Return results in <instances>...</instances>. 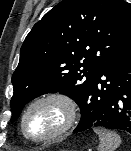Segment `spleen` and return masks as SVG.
I'll list each match as a JSON object with an SVG mask.
<instances>
[{"label": "spleen", "instance_id": "1", "mask_svg": "<svg viewBox=\"0 0 131 151\" xmlns=\"http://www.w3.org/2000/svg\"><path fill=\"white\" fill-rule=\"evenodd\" d=\"M93 130L100 140L99 151H115L120 146L121 138L116 132L103 128H94Z\"/></svg>", "mask_w": 131, "mask_h": 151}]
</instances>
